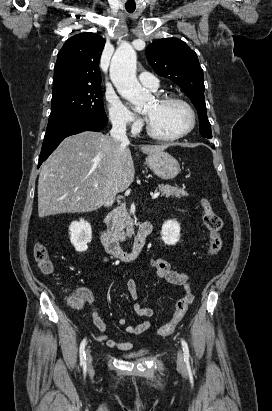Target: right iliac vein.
<instances>
[{"label":"right iliac vein","instance_id":"63e3f726","mask_svg":"<svg viewBox=\"0 0 272 411\" xmlns=\"http://www.w3.org/2000/svg\"><path fill=\"white\" fill-rule=\"evenodd\" d=\"M87 363H88V366L91 367V365H92V356H91V351H90L89 348L87 349Z\"/></svg>","mask_w":272,"mask_h":411}]
</instances>
